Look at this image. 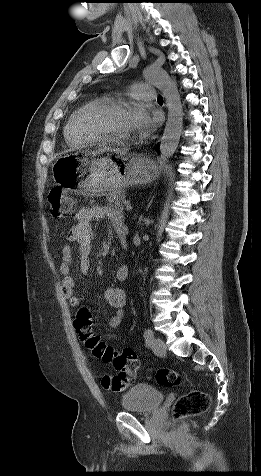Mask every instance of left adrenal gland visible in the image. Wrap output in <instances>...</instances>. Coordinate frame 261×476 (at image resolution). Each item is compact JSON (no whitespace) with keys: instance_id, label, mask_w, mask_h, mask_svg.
Masks as SVG:
<instances>
[{"instance_id":"a2214340","label":"left adrenal gland","mask_w":261,"mask_h":476,"mask_svg":"<svg viewBox=\"0 0 261 476\" xmlns=\"http://www.w3.org/2000/svg\"><path fill=\"white\" fill-rule=\"evenodd\" d=\"M151 202H152V201H150V203H149L148 207L150 206Z\"/></svg>"}]
</instances>
